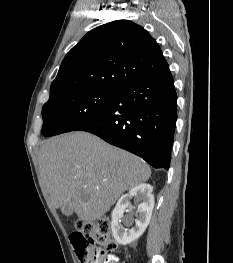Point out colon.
<instances>
[{
    "instance_id": "1",
    "label": "colon",
    "mask_w": 233,
    "mask_h": 263,
    "mask_svg": "<svg viewBox=\"0 0 233 263\" xmlns=\"http://www.w3.org/2000/svg\"><path fill=\"white\" fill-rule=\"evenodd\" d=\"M71 244L82 263H105L117 249L110 231V222L99 219L91 223L78 222L70 234Z\"/></svg>"
}]
</instances>
